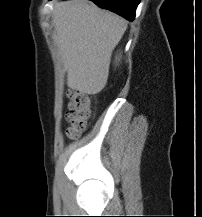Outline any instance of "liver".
Returning a JSON list of instances; mask_svg holds the SVG:
<instances>
[{"instance_id":"6515ba94","label":"liver","mask_w":202,"mask_h":217,"mask_svg":"<svg viewBox=\"0 0 202 217\" xmlns=\"http://www.w3.org/2000/svg\"><path fill=\"white\" fill-rule=\"evenodd\" d=\"M52 22L67 86L95 95L105 87L112 51L127 29L118 15L88 0L55 1Z\"/></svg>"}]
</instances>
